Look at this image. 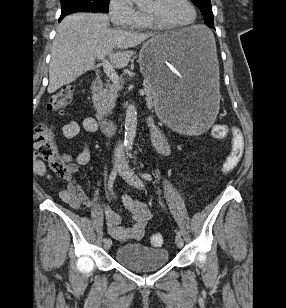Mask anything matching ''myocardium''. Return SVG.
<instances>
[{"mask_svg":"<svg viewBox=\"0 0 286 308\" xmlns=\"http://www.w3.org/2000/svg\"><path fill=\"white\" fill-rule=\"evenodd\" d=\"M185 2L189 5V7L191 8V10L193 12V18L188 23H185V24L167 23V22H165L161 19H158V18H156V17H154V16H152V15L146 13V12H145L144 17L156 29L174 30V29H185V28L192 27L197 22L198 13H197L195 5L193 4V2L191 0H185Z\"/></svg>","mask_w":286,"mask_h":308,"instance_id":"obj_1","label":"myocardium"}]
</instances>
